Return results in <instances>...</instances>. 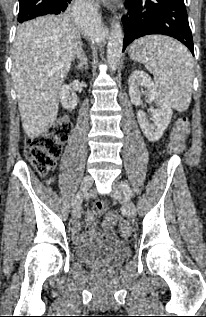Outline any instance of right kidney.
Here are the masks:
<instances>
[{
    "label": "right kidney",
    "mask_w": 206,
    "mask_h": 317,
    "mask_svg": "<svg viewBox=\"0 0 206 317\" xmlns=\"http://www.w3.org/2000/svg\"><path fill=\"white\" fill-rule=\"evenodd\" d=\"M60 101L63 108L71 111L77 106L78 97L70 86L64 85L60 90Z\"/></svg>",
    "instance_id": "right-kidney-1"
}]
</instances>
